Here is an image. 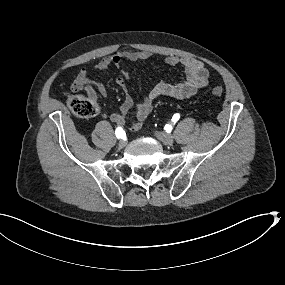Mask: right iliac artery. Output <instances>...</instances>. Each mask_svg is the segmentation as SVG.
<instances>
[{
	"label": "right iliac artery",
	"instance_id": "82829eb1",
	"mask_svg": "<svg viewBox=\"0 0 285 285\" xmlns=\"http://www.w3.org/2000/svg\"><path fill=\"white\" fill-rule=\"evenodd\" d=\"M115 134H116V137L118 139H120V138H123L125 136V131L123 130L122 127H117L115 130Z\"/></svg>",
	"mask_w": 285,
	"mask_h": 285
}]
</instances>
